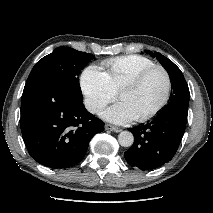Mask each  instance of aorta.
Listing matches in <instances>:
<instances>
[{"label": "aorta", "instance_id": "aorta-1", "mask_svg": "<svg viewBox=\"0 0 213 213\" xmlns=\"http://www.w3.org/2000/svg\"><path fill=\"white\" fill-rule=\"evenodd\" d=\"M118 142L123 147H130L134 143V136L129 131H122L118 135Z\"/></svg>", "mask_w": 213, "mask_h": 213}]
</instances>
